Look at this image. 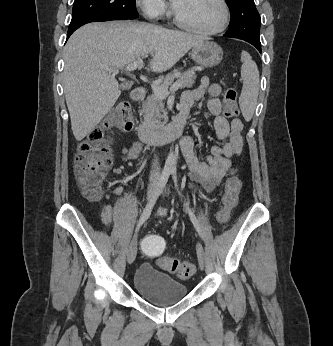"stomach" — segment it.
Instances as JSON below:
<instances>
[{"instance_id": "obj_1", "label": "stomach", "mask_w": 333, "mask_h": 346, "mask_svg": "<svg viewBox=\"0 0 333 346\" xmlns=\"http://www.w3.org/2000/svg\"><path fill=\"white\" fill-rule=\"evenodd\" d=\"M191 57L202 67H214L221 62L223 51L216 43L205 40L192 48Z\"/></svg>"}]
</instances>
